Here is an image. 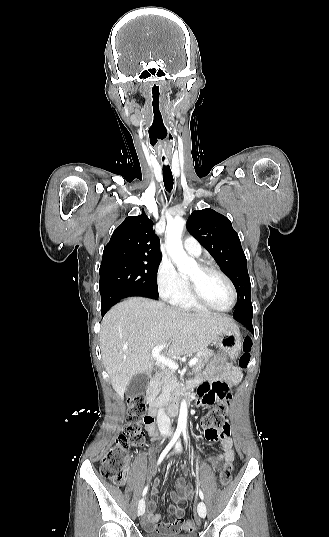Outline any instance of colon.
<instances>
[{
  "label": "colon",
  "mask_w": 329,
  "mask_h": 537,
  "mask_svg": "<svg viewBox=\"0 0 329 537\" xmlns=\"http://www.w3.org/2000/svg\"><path fill=\"white\" fill-rule=\"evenodd\" d=\"M251 347L252 342L249 339H245L243 351L239 357V366L242 370H246L251 361ZM231 400L232 395L218 400L216 406L201 418L200 425L205 431L215 433L218 429H224ZM127 405L128 414L123 432L118 436L112 447L104 453L101 460L102 477L115 485H122L125 482L128 452L131 447H142L146 444L143 424H149L153 421L147 414V407L141 394L129 396ZM232 471V465L224 466L219 477V483L222 487L230 483ZM183 525L185 533L192 535L198 527V522L193 519H183Z\"/></svg>",
  "instance_id": "obj_1"
}]
</instances>
